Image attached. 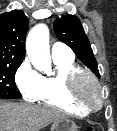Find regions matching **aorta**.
I'll return each mask as SVG.
<instances>
[{"label": "aorta", "instance_id": "1", "mask_svg": "<svg viewBox=\"0 0 117 131\" xmlns=\"http://www.w3.org/2000/svg\"><path fill=\"white\" fill-rule=\"evenodd\" d=\"M26 51L32 65L46 74L51 73L49 29L45 24L34 26L26 40Z\"/></svg>", "mask_w": 117, "mask_h": 131}]
</instances>
